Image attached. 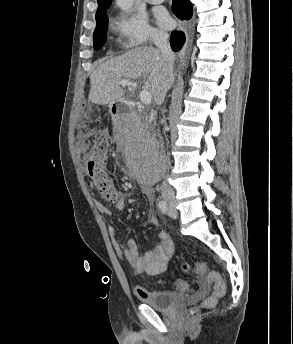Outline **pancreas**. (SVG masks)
Returning a JSON list of instances; mask_svg holds the SVG:
<instances>
[{
	"label": "pancreas",
	"mask_w": 293,
	"mask_h": 344,
	"mask_svg": "<svg viewBox=\"0 0 293 344\" xmlns=\"http://www.w3.org/2000/svg\"><path fill=\"white\" fill-rule=\"evenodd\" d=\"M147 128H149V125L146 124V126H143L142 123H139L137 128L135 130H133V134L137 135L138 133L146 130Z\"/></svg>",
	"instance_id": "cf45deb5"
}]
</instances>
